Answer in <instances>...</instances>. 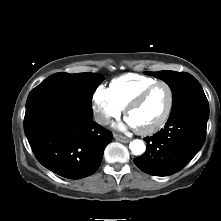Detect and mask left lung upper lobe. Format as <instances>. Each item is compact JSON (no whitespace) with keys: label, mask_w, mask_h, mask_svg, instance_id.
Returning <instances> with one entry per match:
<instances>
[{"label":"left lung upper lobe","mask_w":221,"mask_h":221,"mask_svg":"<svg viewBox=\"0 0 221 221\" xmlns=\"http://www.w3.org/2000/svg\"><path fill=\"white\" fill-rule=\"evenodd\" d=\"M145 73L160 78L169 85L173 94L172 108L190 97L204 94L199 82L189 73L175 71Z\"/></svg>","instance_id":"left-lung-upper-lobe-1"}]
</instances>
